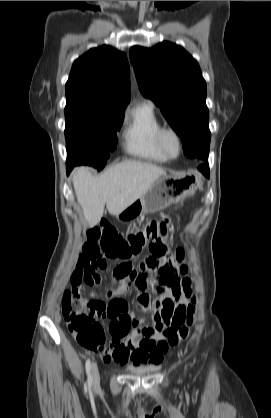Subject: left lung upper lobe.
<instances>
[{
  "instance_id": "left-lung-upper-lobe-1",
  "label": "left lung upper lobe",
  "mask_w": 271,
  "mask_h": 418,
  "mask_svg": "<svg viewBox=\"0 0 271 418\" xmlns=\"http://www.w3.org/2000/svg\"><path fill=\"white\" fill-rule=\"evenodd\" d=\"M129 55L141 93L160 107L180 136L184 154L207 160L211 138L207 89L197 61L171 42L134 46Z\"/></svg>"
}]
</instances>
